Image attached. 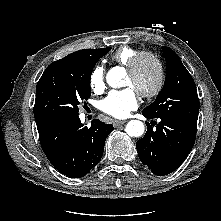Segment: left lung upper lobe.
<instances>
[{"instance_id": "obj_1", "label": "left lung upper lobe", "mask_w": 221, "mask_h": 221, "mask_svg": "<svg viewBox=\"0 0 221 221\" xmlns=\"http://www.w3.org/2000/svg\"><path fill=\"white\" fill-rule=\"evenodd\" d=\"M163 54L167 63L164 86L143 112L151 118L197 123L199 99L195 82L171 48L163 47Z\"/></svg>"}]
</instances>
